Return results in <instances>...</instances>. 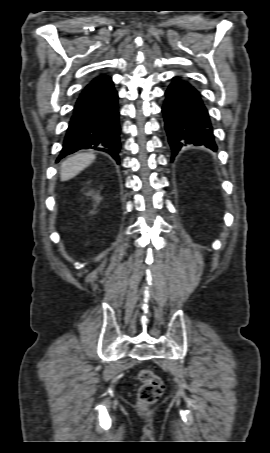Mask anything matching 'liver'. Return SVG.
<instances>
[{"instance_id": "liver-1", "label": "liver", "mask_w": 270, "mask_h": 453, "mask_svg": "<svg viewBox=\"0 0 270 453\" xmlns=\"http://www.w3.org/2000/svg\"><path fill=\"white\" fill-rule=\"evenodd\" d=\"M95 160V155L92 153H78L68 157L61 165L60 178L61 181H67Z\"/></svg>"}]
</instances>
